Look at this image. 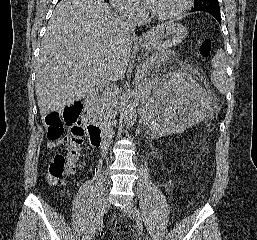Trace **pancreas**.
<instances>
[{"mask_svg": "<svg viewBox=\"0 0 257 240\" xmlns=\"http://www.w3.org/2000/svg\"><path fill=\"white\" fill-rule=\"evenodd\" d=\"M175 57V52H161L151 56L145 60L137 69V78L144 79L148 76L150 71L156 70L162 63L168 61L169 58ZM105 108V101L103 96H98L93 103V110L96 114L101 115Z\"/></svg>", "mask_w": 257, "mask_h": 240, "instance_id": "obj_1", "label": "pancreas"}]
</instances>
